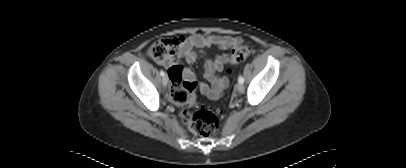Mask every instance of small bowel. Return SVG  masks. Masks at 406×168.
Instances as JSON below:
<instances>
[{"label": "small bowel", "mask_w": 406, "mask_h": 168, "mask_svg": "<svg viewBox=\"0 0 406 168\" xmlns=\"http://www.w3.org/2000/svg\"><path fill=\"white\" fill-rule=\"evenodd\" d=\"M240 43L241 40L234 36H220L216 34H194L189 37L180 36L170 42L172 47L171 54L161 63L167 68H171L174 65L182 66L179 77L181 80L192 82L194 74L183 62L187 64L195 62L198 52L202 53L209 47L216 46L223 50H231L236 49ZM227 62L228 54L217 55L214 59H208L205 62V77L210 82L211 87L205 83H200L199 91L201 94L211 100H217L221 97L228 86L229 80L226 76H219L218 73L223 70Z\"/></svg>", "instance_id": "obj_1"}]
</instances>
